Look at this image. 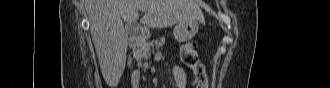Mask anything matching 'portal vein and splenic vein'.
<instances>
[{
	"mask_svg": "<svg viewBox=\"0 0 330 88\" xmlns=\"http://www.w3.org/2000/svg\"><path fill=\"white\" fill-rule=\"evenodd\" d=\"M141 10H142V11H145V9H143V8H142Z\"/></svg>",
	"mask_w": 330,
	"mask_h": 88,
	"instance_id": "portal-vein-and-splenic-vein-1",
	"label": "portal vein and splenic vein"
}]
</instances>
